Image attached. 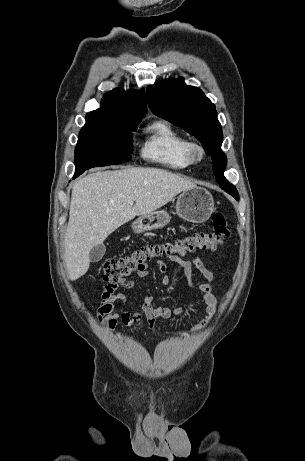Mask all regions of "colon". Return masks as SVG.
Here are the masks:
<instances>
[{
  "mask_svg": "<svg viewBox=\"0 0 305 461\" xmlns=\"http://www.w3.org/2000/svg\"><path fill=\"white\" fill-rule=\"evenodd\" d=\"M214 228L211 232H194L173 241L141 246L129 255L111 258L102 263V274L106 281L125 280L141 269L152 259L158 257L183 256L200 250H215L229 236L224 215L217 212L213 216Z\"/></svg>",
  "mask_w": 305,
  "mask_h": 461,
  "instance_id": "obj_1",
  "label": "colon"
}]
</instances>
